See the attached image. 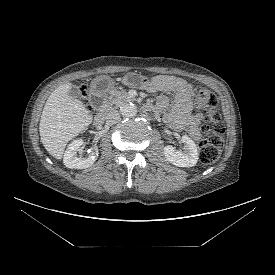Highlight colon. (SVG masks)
Returning <instances> with one entry per match:
<instances>
[{"instance_id":"obj_1","label":"colon","mask_w":275,"mask_h":275,"mask_svg":"<svg viewBox=\"0 0 275 275\" xmlns=\"http://www.w3.org/2000/svg\"><path fill=\"white\" fill-rule=\"evenodd\" d=\"M82 97L87 98L86 90ZM195 106L204 112L202 128L205 139L199 143V158L205 164H211L220 157L223 146L224 125L218 111L217 97L210 90L198 88L195 92Z\"/></svg>"}]
</instances>
